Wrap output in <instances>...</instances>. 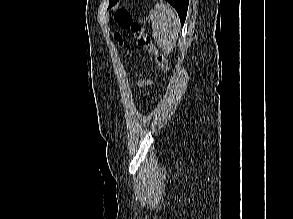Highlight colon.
<instances>
[{
    "label": "colon",
    "instance_id": "obj_1",
    "mask_svg": "<svg viewBox=\"0 0 293 219\" xmlns=\"http://www.w3.org/2000/svg\"><path fill=\"white\" fill-rule=\"evenodd\" d=\"M114 19L120 29L128 30L136 38L138 45L155 57V61L159 69L164 74H167L169 72L167 59L157 50L153 44L151 35L145 30L139 21L133 18L128 9H117L114 13ZM115 38L120 44L122 43V39L119 34H116Z\"/></svg>",
    "mask_w": 293,
    "mask_h": 219
}]
</instances>
